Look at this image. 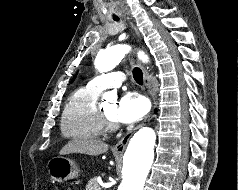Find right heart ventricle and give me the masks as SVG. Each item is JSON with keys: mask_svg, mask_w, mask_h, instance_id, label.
<instances>
[{"mask_svg": "<svg viewBox=\"0 0 238 190\" xmlns=\"http://www.w3.org/2000/svg\"><path fill=\"white\" fill-rule=\"evenodd\" d=\"M99 94L88 86L71 94L61 117V132L65 137L94 139L103 134L96 105Z\"/></svg>", "mask_w": 238, "mask_h": 190, "instance_id": "right-heart-ventricle-1", "label": "right heart ventricle"}]
</instances>
